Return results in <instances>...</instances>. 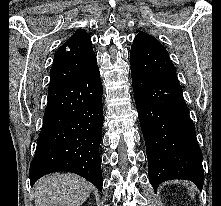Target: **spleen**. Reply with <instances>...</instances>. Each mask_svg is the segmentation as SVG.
Listing matches in <instances>:
<instances>
[{
	"label": "spleen",
	"mask_w": 221,
	"mask_h": 206,
	"mask_svg": "<svg viewBox=\"0 0 221 206\" xmlns=\"http://www.w3.org/2000/svg\"><path fill=\"white\" fill-rule=\"evenodd\" d=\"M191 196H192V198H193V197H194V193H192V195H191Z\"/></svg>",
	"instance_id": "spleen-1"
}]
</instances>
